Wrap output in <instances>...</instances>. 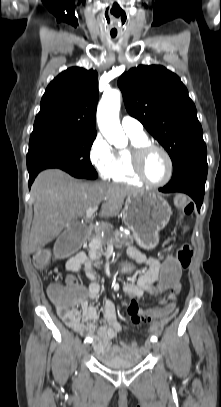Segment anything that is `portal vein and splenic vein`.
<instances>
[{
    "label": "portal vein and splenic vein",
    "mask_w": 221,
    "mask_h": 407,
    "mask_svg": "<svg viewBox=\"0 0 221 407\" xmlns=\"http://www.w3.org/2000/svg\"><path fill=\"white\" fill-rule=\"evenodd\" d=\"M97 210H98V206L88 209L86 212L85 218L90 219Z\"/></svg>",
    "instance_id": "18ae733b"
}]
</instances>
